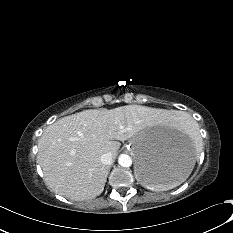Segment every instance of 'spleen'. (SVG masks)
Wrapping results in <instances>:
<instances>
[{"instance_id": "3e777b00", "label": "spleen", "mask_w": 233, "mask_h": 233, "mask_svg": "<svg viewBox=\"0 0 233 233\" xmlns=\"http://www.w3.org/2000/svg\"><path fill=\"white\" fill-rule=\"evenodd\" d=\"M174 126L179 129L184 131L185 133H195L198 130V125L188 116H181L179 119H177L174 122ZM196 142L198 140V138L194 139ZM189 176V175H188ZM185 177L183 180H181L180 182L174 183L173 185L169 186V187H160L157 186L156 188H152V190H167V189H171L174 188L178 185H180L181 183H183L187 178Z\"/></svg>"}]
</instances>
